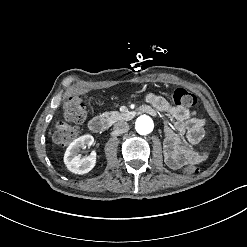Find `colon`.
<instances>
[{
	"mask_svg": "<svg viewBox=\"0 0 247 247\" xmlns=\"http://www.w3.org/2000/svg\"><path fill=\"white\" fill-rule=\"evenodd\" d=\"M197 103V97L192 93H186L184 88H177L173 94V105L193 107ZM63 115L65 120L57 124L54 133V140L58 146H66L75 138L76 129L69 122L81 124L85 121L88 109L85 102L78 96H70L66 99L63 106ZM183 174H194L196 169L193 165H185L182 168Z\"/></svg>",
	"mask_w": 247,
	"mask_h": 247,
	"instance_id": "1",
	"label": "colon"
}]
</instances>
